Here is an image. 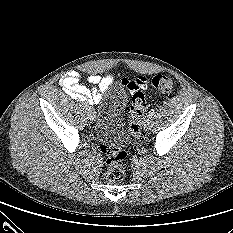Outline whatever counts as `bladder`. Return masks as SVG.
<instances>
[{"label":"bladder","mask_w":233,"mask_h":233,"mask_svg":"<svg viewBox=\"0 0 233 233\" xmlns=\"http://www.w3.org/2000/svg\"><path fill=\"white\" fill-rule=\"evenodd\" d=\"M125 90L114 86L106 95V103L97 124V137L105 144L117 145L126 141L122 115L126 107Z\"/></svg>","instance_id":"obj_1"}]
</instances>
